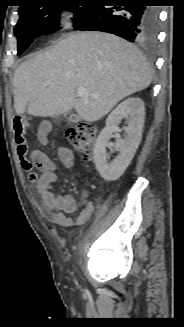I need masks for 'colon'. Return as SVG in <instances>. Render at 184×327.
Returning <instances> with one entry per match:
<instances>
[{"mask_svg": "<svg viewBox=\"0 0 184 327\" xmlns=\"http://www.w3.org/2000/svg\"><path fill=\"white\" fill-rule=\"evenodd\" d=\"M26 120L16 118L13 123L14 138L19 156L27 153L28 146L25 139ZM67 141L85 157H90L97 138V128L89 122H80L68 128L65 132Z\"/></svg>", "mask_w": 184, "mask_h": 327, "instance_id": "colon-1", "label": "colon"}]
</instances>
